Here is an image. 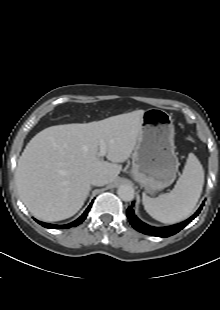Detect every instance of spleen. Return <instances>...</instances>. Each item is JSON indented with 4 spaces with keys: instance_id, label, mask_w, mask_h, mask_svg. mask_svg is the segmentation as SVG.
I'll return each instance as SVG.
<instances>
[{
    "instance_id": "1",
    "label": "spleen",
    "mask_w": 220,
    "mask_h": 310,
    "mask_svg": "<svg viewBox=\"0 0 220 310\" xmlns=\"http://www.w3.org/2000/svg\"><path fill=\"white\" fill-rule=\"evenodd\" d=\"M204 170L190 153L184 170L170 193L151 198L143 194L146 212L162 223L172 224L186 219L195 208L203 189Z\"/></svg>"
}]
</instances>
